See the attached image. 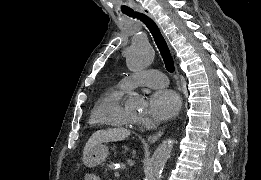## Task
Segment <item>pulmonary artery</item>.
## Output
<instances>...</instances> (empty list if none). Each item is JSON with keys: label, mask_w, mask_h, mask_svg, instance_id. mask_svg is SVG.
<instances>
[{"label": "pulmonary artery", "mask_w": 261, "mask_h": 180, "mask_svg": "<svg viewBox=\"0 0 261 180\" xmlns=\"http://www.w3.org/2000/svg\"><path fill=\"white\" fill-rule=\"evenodd\" d=\"M166 76L158 70L145 69L144 73H134L126 75L119 80L118 85L123 89L140 88V89H153V88H167ZM161 84V85H160Z\"/></svg>", "instance_id": "1"}]
</instances>
